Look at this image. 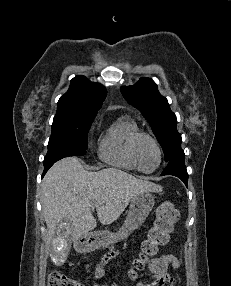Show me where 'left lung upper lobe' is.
<instances>
[{"mask_svg":"<svg viewBox=\"0 0 231 286\" xmlns=\"http://www.w3.org/2000/svg\"><path fill=\"white\" fill-rule=\"evenodd\" d=\"M121 93L150 124L163 148L166 162L178 155L182 149L181 135L176 129L177 118L170 110L167 99L158 92L155 82L141 78L133 86L122 87Z\"/></svg>","mask_w":231,"mask_h":286,"instance_id":"5c2ea615","label":"left lung upper lobe"}]
</instances>
